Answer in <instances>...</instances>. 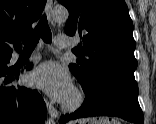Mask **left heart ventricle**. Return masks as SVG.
Returning a JSON list of instances; mask_svg holds the SVG:
<instances>
[{
	"label": "left heart ventricle",
	"mask_w": 156,
	"mask_h": 124,
	"mask_svg": "<svg viewBox=\"0 0 156 124\" xmlns=\"http://www.w3.org/2000/svg\"><path fill=\"white\" fill-rule=\"evenodd\" d=\"M71 97H72V93H71V95L69 96V98L67 100H69Z\"/></svg>",
	"instance_id": "b2bd125f"
}]
</instances>
